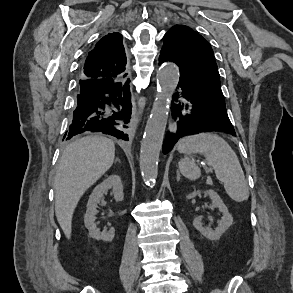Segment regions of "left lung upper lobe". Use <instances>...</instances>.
Masks as SVG:
<instances>
[{
	"label": "left lung upper lobe",
	"instance_id": "1",
	"mask_svg": "<svg viewBox=\"0 0 293 293\" xmlns=\"http://www.w3.org/2000/svg\"><path fill=\"white\" fill-rule=\"evenodd\" d=\"M160 57L179 66V84L225 102L213 50L197 32L185 25L173 26L164 36Z\"/></svg>",
	"mask_w": 293,
	"mask_h": 293
}]
</instances>
